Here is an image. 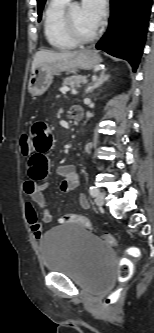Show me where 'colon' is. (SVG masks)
<instances>
[{
  "label": "colon",
  "instance_id": "obj_1",
  "mask_svg": "<svg viewBox=\"0 0 154 333\" xmlns=\"http://www.w3.org/2000/svg\"><path fill=\"white\" fill-rule=\"evenodd\" d=\"M20 149L21 152L24 155H28L32 150L30 135L27 132H24L21 134L20 137ZM61 223H77L80 224L88 229H92V224L90 220L87 217L76 215V214H65L60 218ZM102 238L110 245V246H116L117 240L116 238L111 234H104ZM130 259H125L120 263L119 270H118V276L122 280H128L131 278L133 274V263L131 261V258H137L138 257V251L135 249H131L128 252ZM117 296H110L106 299V304H113L117 301Z\"/></svg>",
  "mask_w": 154,
  "mask_h": 333
}]
</instances>
